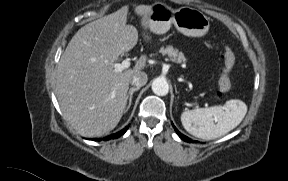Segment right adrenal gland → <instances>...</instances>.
I'll return each instance as SVG.
<instances>
[{
  "mask_svg": "<svg viewBox=\"0 0 288 181\" xmlns=\"http://www.w3.org/2000/svg\"><path fill=\"white\" fill-rule=\"evenodd\" d=\"M140 88L139 87H136V88H130L129 89V92H128V95H127V98H128V105H127V108L125 110V112L128 111V109L130 108L131 106V102H132V96L134 94V92L138 91Z\"/></svg>",
  "mask_w": 288,
  "mask_h": 181,
  "instance_id": "right-adrenal-gland-1",
  "label": "right adrenal gland"
}]
</instances>
